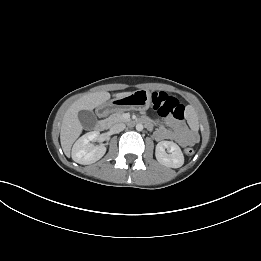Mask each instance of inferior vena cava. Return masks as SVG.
I'll use <instances>...</instances> for the list:
<instances>
[{
	"mask_svg": "<svg viewBox=\"0 0 261 261\" xmlns=\"http://www.w3.org/2000/svg\"><path fill=\"white\" fill-rule=\"evenodd\" d=\"M124 123H116L110 128L111 133H119L125 129Z\"/></svg>",
	"mask_w": 261,
	"mask_h": 261,
	"instance_id": "602c4592",
	"label": "inferior vena cava"
}]
</instances>
